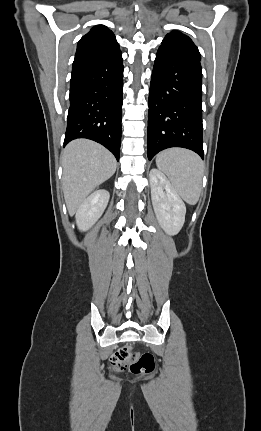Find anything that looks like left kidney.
<instances>
[{"instance_id": "obj_1", "label": "left kidney", "mask_w": 261, "mask_h": 431, "mask_svg": "<svg viewBox=\"0 0 261 431\" xmlns=\"http://www.w3.org/2000/svg\"><path fill=\"white\" fill-rule=\"evenodd\" d=\"M149 178L156 218L167 234L176 235L185 222V204L161 171L152 169Z\"/></svg>"}]
</instances>
